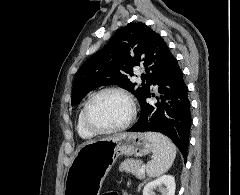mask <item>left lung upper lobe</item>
Wrapping results in <instances>:
<instances>
[{
	"label": "left lung upper lobe",
	"mask_w": 240,
	"mask_h": 195,
	"mask_svg": "<svg viewBox=\"0 0 240 195\" xmlns=\"http://www.w3.org/2000/svg\"><path fill=\"white\" fill-rule=\"evenodd\" d=\"M172 57L164 40L143 23H130L120 28L109 43L91 56L78 70L72 105H76L91 90L105 85H119L132 92L143 106L150 85ZM135 66H144L142 83L137 86L129 79Z\"/></svg>",
	"instance_id": "1"
}]
</instances>
